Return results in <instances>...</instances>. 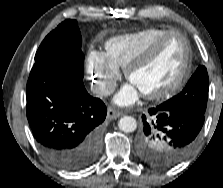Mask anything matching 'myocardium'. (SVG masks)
<instances>
[{"mask_svg": "<svg viewBox=\"0 0 223 188\" xmlns=\"http://www.w3.org/2000/svg\"><path fill=\"white\" fill-rule=\"evenodd\" d=\"M171 36H179L182 38L185 46L184 60L180 71L176 78L166 86L149 93H142L148 100H160L176 93L184 84L191 66V45L188 38L180 31L170 30L157 37L149 45L141 50V52L125 67L124 73L127 80L130 81L134 70L144 64L159 47Z\"/></svg>", "mask_w": 223, "mask_h": 188, "instance_id": "myocardium-1", "label": "myocardium"}]
</instances>
